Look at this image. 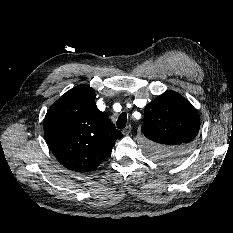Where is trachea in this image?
<instances>
[{"label":"trachea","instance_id":"3493384b","mask_svg":"<svg viewBox=\"0 0 233 233\" xmlns=\"http://www.w3.org/2000/svg\"><path fill=\"white\" fill-rule=\"evenodd\" d=\"M126 122H127V115L125 112L121 113L118 120H117V128L118 129H123L126 126Z\"/></svg>","mask_w":233,"mask_h":233}]
</instances>
